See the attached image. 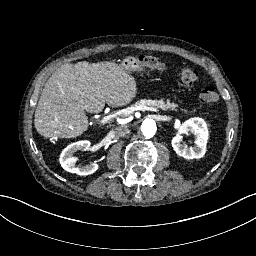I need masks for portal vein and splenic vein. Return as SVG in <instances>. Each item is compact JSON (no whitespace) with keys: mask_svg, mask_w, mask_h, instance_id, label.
Segmentation results:
<instances>
[{"mask_svg":"<svg viewBox=\"0 0 256 256\" xmlns=\"http://www.w3.org/2000/svg\"><path fill=\"white\" fill-rule=\"evenodd\" d=\"M137 110H148V111H151V112H156L157 111V108L156 107H153V106H149V105H134L133 107H128L126 109H123L117 113H114L112 115H108V116H105L102 120H101V123L105 124L107 123L111 118H117L119 119V117H117L118 115H121V116H130L131 114H133L134 111H137Z\"/></svg>","mask_w":256,"mask_h":256,"instance_id":"18ae733b","label":"portal vein and splenic vein"}]
</instances>
